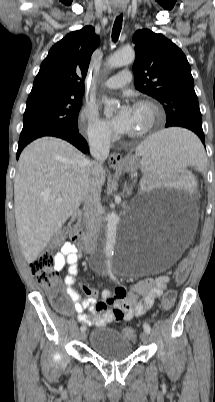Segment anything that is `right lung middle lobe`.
Wrapping results in <instances>:
<instances>
[{
	"mask_svg": "<svg viewBox=\"0 0 215 402\" xmlns=\"http://www.w3.org/2000/svg\"><path fill=\"white\" fill-rule=\"evenodd\" d=\"M82 95L41 93L28 96L19 145L60 132L78 131Z\"/></svg>",
	"mask_w": 215,
	"mask_h": 402,
	"instance_id": "1",
	"label": "right lung middle lobe"
}]
</instances>
